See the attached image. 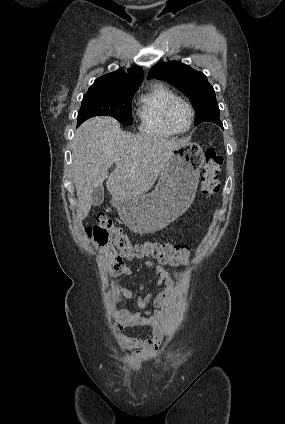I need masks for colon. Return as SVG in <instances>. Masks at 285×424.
Wrapping results in <instances>:
<instances>
[{"label": "colon", "instance_id": "colon-1", "mask_svg": "<svg viewBox=\"0 0 285 424\" xmlns=\"http://www.w3.org/2000/svg\"><path fill=\"white\" fill-rule=\"evenodd\" d=\"M222 157L212 148L204 151L200 192L212 197L220 191L219 172ZM86 235L94 241L101 260L108 271L115 275L124 268L125 260L154 258L161 264H186L194 250L187 245L158 241L133 242L124 230L105 215H97L95 222L86 229Z\"/></svg>", "mask_w": 285, "mask_h": 424}]
</instances>
